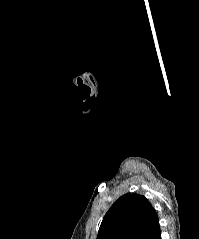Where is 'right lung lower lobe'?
Wrapping results in <instances>:
<instances>
[{"label": "right lung lower lobe", "mask_w": 199, "mask_h": 239, "mask_svg": "<svg viewBox=\"0 0 199 239\" xmlns=\"http://www.w3.org/2000/svg\"><path fill=\"white\" fill-rule=\"evenodd\" d=\"M142 239H161L159 223H157Z\"/></svg>", "instance_id": "98d812e1"}]
</instances>
